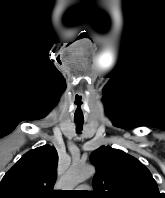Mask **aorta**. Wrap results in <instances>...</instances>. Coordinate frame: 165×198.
<instances>
[{
	"label": "aorta",
	"instance_id": "762f6f07",
	"mask_svg": "<svg viewBox=\"0 0 165 198\" xmlns=\"http://www.w3.org/2000/svg\"><path fill=\"white\" fill-rule=\"evenodd\" d=\"M95 173V168L91 165L73 163L61 180V186L66 190L75 188L80 183L90 178Z\"/></svg>",
	"mask_w": 165,
	"mask_h": 198
}]
</instances>
